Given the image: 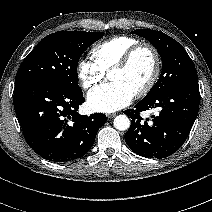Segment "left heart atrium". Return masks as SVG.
Masks as SVG:
<instances>
[{
	"label": "left heart atrium",
	"mask_w": 212,
	"mask_h": 212,
	"mask_svg": "<svg viewBox=\"0 0 212 212\" xmlns=\"http://www.w3.org/2000/svg\"><path fill=\"white\" fill-rule=\"evenodd\" d=\"M135 93L125 85L110 81L87 94L88 107L96 112L111 113L129 105Z\"/></svg>",
	"instance_id": "1"
}]
</instances>
